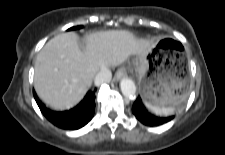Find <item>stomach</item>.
<instances>
[{
	"label": "stomach",
	"mask_w": 225,
	"mask_h": 155,
	"mask_svg": "<svg viewBox=\"0 0 225 155\" xmlns=\"http://www.w3.org/2000/svg\"><path fill=\"white\" fill-rule=\"evenodd\" d=\"M138 60L139 89L146 103L158 107L175 106L187 97L189 80L182 76L184 71L160 59L156 47Z\"/></svg>",
	"instance_id": "1"
}]
</instances>
